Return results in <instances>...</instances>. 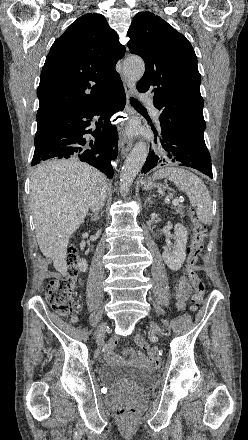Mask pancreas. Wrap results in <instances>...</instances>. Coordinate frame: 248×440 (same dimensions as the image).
Here are the masks:
<instances>
[{"instance_id":"pancreas-1","label":"pancreas","mask_w":248,"mask_h":440,"mask_svg":"<svg viewBox=\"0 0 248 440\" xmlns=\"http://www.w3.org/2000/svg\"><path fill=\"white\" fill-rule=\"evenodd\" d=\"M175 209L177 214H180L181 217H184V210L182 205H176Z\"/></svg>"}]
</instances>
